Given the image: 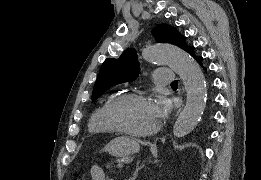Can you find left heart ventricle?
<instances>
[{
  "label": "left heart ventricle",
  "instance_id": "1",
  "mask_svg": "<svg viewBox=\"0 0 261 180\" xmlns=\"http://www.w3.org/2000/svg\"><path fill=\"white\" fill-rule=\"evenodd\" d=\"M159 109L152 99H132L111 110V118L123 134L142 136L158 121Z\"/></svg>",
  "mask_w": 261,
  "mask_h": 180
}]
</instances>
